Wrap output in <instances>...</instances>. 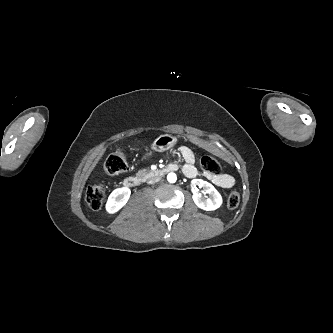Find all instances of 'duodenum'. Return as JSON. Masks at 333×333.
<instances>
[{
	"instance_id": "duodenum-1",
	"label": "duodenum",
	"mask_w": 333,
	"mask_h": 333,
	"mask_svg": "<svg viewBox=\"0 0 333 333\" xmlns=\"http://www.w3.org/2000/svg\"><path fill=\"white\" fill-rule=\"evenodd\" d=\"M176 169H177V165L170 164L168 166H165V167L152 171L151 175L153 177H161V176L168 174L169 172L175 171ZM142 182H143V178L138 175L128 176L123 181L124 185L126 187H130V188L137 187V186L141 185Z\"/></svg>"
}]
</instances>
